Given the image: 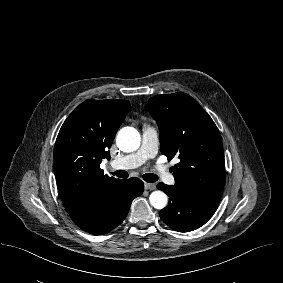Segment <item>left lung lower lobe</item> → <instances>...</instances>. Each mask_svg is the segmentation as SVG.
<instances>
[{"instance_id":"1","label":"left lung lower lobe","mask_w":283,"mask_h":283,"mask_svg":"<svg viewBox=\"0 0 283 283\" xmlns=\"http://www.w3.org/2000/svg\"><path fill=\"white\" fill-rule=\"evenodd\" d=\"M157 188L169 196L168 206L160 211V217L179 232H189L201 227L218 207V203L202 199L181 184L159 183Z\"/></svg>"}]
</instances>
